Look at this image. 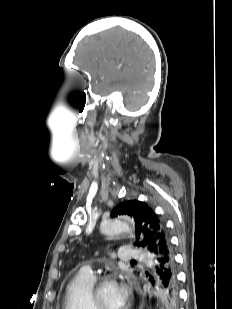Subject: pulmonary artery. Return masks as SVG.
Instances as JSON below:
<instances>
[{
  "label": "pulmonary artery",
  "instance_id": "e3ab8cb5",
  "mask_svg": "<svg viewBox=\"0 0 232 309\" xmlns=\"http://www.w3.org/2000/svg\"><path fill=\"white\" fill-rule=\"evenodd\" d=\"M121 261L126 262L132 259H137V260H148L149 255L145 254L144 252L140 250H135L130 247L124 246L121 249ZM81 272L94 276L93 270L90 266H84L80 270Z\"/></svg>",
  "mask_w": 232,
  "mask_h": 309
}]
</instances>
